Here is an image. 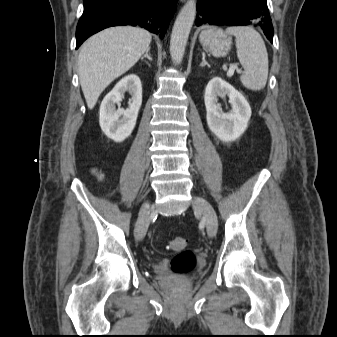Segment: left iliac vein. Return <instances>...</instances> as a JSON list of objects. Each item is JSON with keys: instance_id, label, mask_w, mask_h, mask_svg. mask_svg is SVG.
<instances>
[{"instance_id": "obj_1", "label": "left iliac vein", "mask_w": 337, "mask_h": 337, "mask_svg": "<svg viewBox=\"0 0 337 337\" xmlns=\"http://www.w3.org/2000/svg\"><path fill=\"white\" fill-rule=\"evenodd\" d=\"M192 204L195 211L203 214L208 235L210 237L215 236L218 228V220L214 208L207 200L198 196L193 197Z\"/></svg>"}]
</instances>
